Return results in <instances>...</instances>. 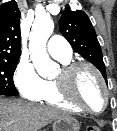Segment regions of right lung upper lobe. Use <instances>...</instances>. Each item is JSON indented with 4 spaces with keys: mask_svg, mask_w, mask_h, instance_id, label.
<instances>
[{
    "mask_svg": "<svg viewBox=\"0 0 117 131\" xmlns=\"http://www.w3.org/2000/svg\"><path fill=\"white\" fill-rule=\"evenodd\" d=\"M20 16L14 0L0 5V59H19Z\"/></svg>",
    "mask_w": 117,
    "mask_h": 131,
    "instance_id": "right-lung-upper-lobe-1",
    "label": "right lung upper lobe"
}]
</instances>
